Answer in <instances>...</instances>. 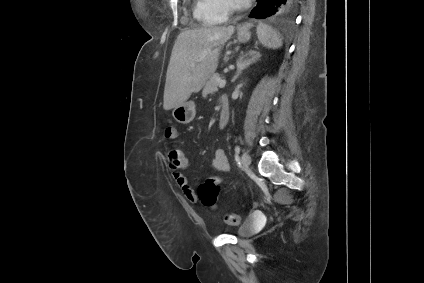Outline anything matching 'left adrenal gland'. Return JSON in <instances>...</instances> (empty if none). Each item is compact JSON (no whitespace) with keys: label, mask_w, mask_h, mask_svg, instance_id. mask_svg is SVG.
Instances as JSON below:
<instances>
[{"label":"left adrenal gland","mask_w":424,"mask_h":283,"mask_svg":"<svg viewBox=\"0 0 424 283\" xmlns=\"http://www.w3.org/2000/svg\"><path fill=\"white\" fill-rule=\"evenodd\" d=\"M248 55L251 56V58L243 59L244 57H241L237 62V72L236 75L233 77L232 82H235L238 79L244 69H247L250 65L256 63V61L259 60L261 57L260 53L254 50L249 51Z\"/></svg>","instance_id":"1"}]
</instances>
